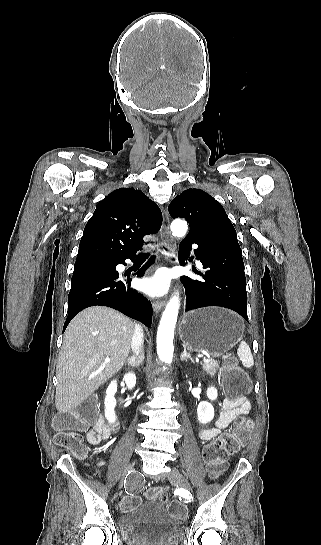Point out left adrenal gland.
<instances>
[{"label": "left adrenal gland", "mask_w": 321, "mask_h": 545, "mask_svg": "<svg viewBox=\"0 0 321 545\" xmlns=\"http://www.w3.org/2000/svg\"><path fill=\"white\" fill-rule=\"evenodd\" d=\"M180 359H181V361H187V359H190V361H192V363H194V359H192V357H190V353H187L186 347H184V351H183V353H181Z\"/></svg>", "instance_id": "a2214340"}]
</instances>
